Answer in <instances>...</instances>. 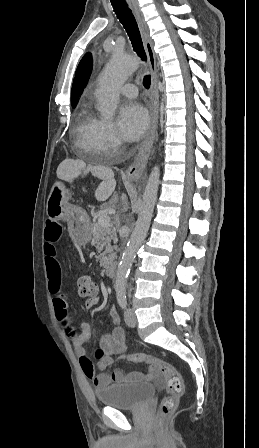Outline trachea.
<instances>
[{"instance_id":"3493384b","label":"trachea","mask_w":259,"mask_h":448,"mask_svg":"<svg viewBox=\"0 0 259 448\" xmlns=\"http://www.w3.org/2000/svg\"><path fill=\"white\" fill-rule=\"evenodd\" d=\"M114 8V11L119 18L120 22L124 26L133 46L134 51L143 60L146 61V53L143 47V42L137 22L131 12L126 0H110ZM151 78L150 75H145L143 78V85L145 88H150Z\"/></svg>"}]
</instances>
